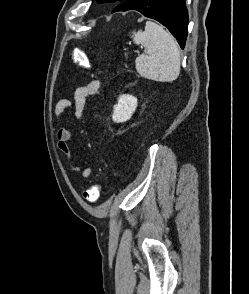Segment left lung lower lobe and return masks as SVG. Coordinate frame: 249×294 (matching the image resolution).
Returning a JSON list of instances; mask_svg holds the SVG:
<instances>
[{
    "label": "left lung lower lobe",
    "instance_id": "1",
    "mask_svg": "<svg viewBox=\"0 0 249 294\" xmlns=\"http://www.w3.org/2000/svg\"><path fill=\"white\" fill-rule=\"evenodd\" d=\"M137 10L166 26L183 49L188 33L185 0H124L113 11Z\"/></svg>",
    "mask_w": 249,
    "mask_h": 294
}]
</instances>
